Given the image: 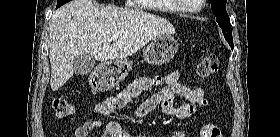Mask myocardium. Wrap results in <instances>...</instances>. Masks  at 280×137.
I'll use <instances>...</instances> for the list:
<instances>
[{
    "label": "myocardium",
    "mask_w": 280,
    "mask_h": 137,
    "mask_svg": "<svg viewBox=\"0 0 280 137\" xmlns=\"http://www.w3.org/2000/svg\"><path fill=\"white\" fill-rule=\"evenodd\" d=\"M199 2H200V6H202L204 0H199ZM180 7H181V8H184V9L190 11V12H194V13L198 11V9H196V8H190L189 6H186V5H180Z\"/></svg>",
    "instance_id": "obj_1"
}]
</instances>
